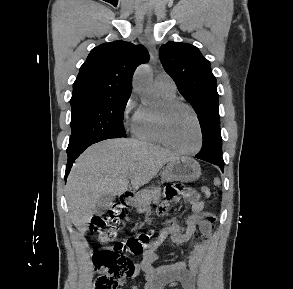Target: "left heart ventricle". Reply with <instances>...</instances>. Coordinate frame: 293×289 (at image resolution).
I'll use <instances>...</instances> for the list:
<instances>
[{"instance_id":"left-heart-ventricle-1","label":"left heart ventricle","mask_w":293,"mask_h":289,"mask_svg":"<svg viewBox=\"0 0 293 289\" xmlns=\"http://www.w3.org/2000/svg\"><path fill=\"white\" fill-rule=\"evenodd\" d=\"M166 133L170 142L179 149L191 150L197 145V126L191 112L185 107L168 112Z\"/></svg>"}]
</instances>
